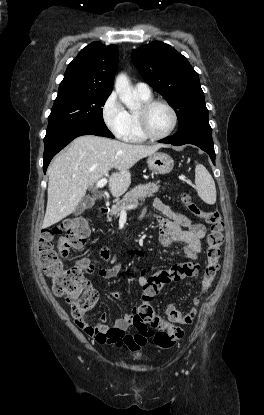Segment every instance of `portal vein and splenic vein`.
Returning a JSON list of instances; mask_svg holds the SVG:
<instances>
[{
  "label": "portal vein and splenic vein",
  "mask_w": 264,
  "mask_h": 415,
  "mask_svg": "<svg viewBox=\"0 0 264 415\" xmlns=\"http://www.w3.org/2000/svg\"><path fill=\"white\" fill-rule=\"evenodd\" d=\"M107 184V179L104 177L102 179H100L97 183H96V187L97 188H102ZM137 206L136 205H129L127 206L125 209L121 210V214H126V210L127 209H135Z\"/></svg>",
  "instance_id": "18ae733b"
}]
</instances>
